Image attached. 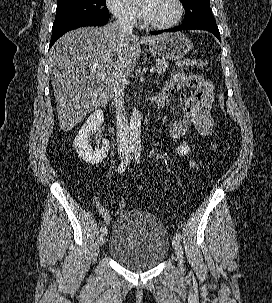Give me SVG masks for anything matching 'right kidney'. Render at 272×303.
<instances>
[{"mask_svg": "<svg viewBox=\"0 0 272 303\" xmlns=\"http://www.w3.org/2000/svg\"><path fill=\"white\" fill-rule=\"evenodd\" d=\"M104 122V114L101 109L95 110L85 121L73 141V146L79 157L90 164H98L104 160L109 152V141L104 139L100 149L93 150L89 144L90 136L100 132Z\"/></svg>", "mask_w": 272, "mask_h": 303, "instance_id": "1", "label": "right kidney"}]
</instances>
